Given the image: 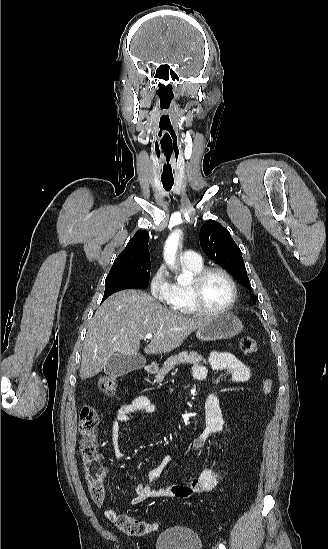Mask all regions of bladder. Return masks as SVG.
I'll return each instance as SVG.
<instances>
[{
    "label": "bladder",
    "mask_w": 328,
    "mask_h": 549,
    "mask_svg": "<svg viewBox=\"0 0 328 549\" xmlns=\"http://www.w3.org/2000/svg\"><path fill=\"white\" fill-rule=\"evenodd\" d=\"M183 528H171L159 535L156 549H201L200 536L193 532L192 536L182 535ZM188 532V530H185Z\"/></svg>",
    "instance_id": "obj_1"
}]
</instances>
